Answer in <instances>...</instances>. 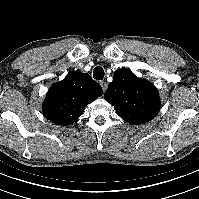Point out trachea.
<instances>
[{
    "instance_id": "obj_1",
    "label": "trachea",
    "mask_w": 199,
    "mask_h": 199,
    "mask_svg": "<svg viewBox=\"0 0 199 199\" xmlns=\"http://www.w3.org/2000/svg\"><path fill=\"white\" fill-rule=\"evenodd\" d=\"M104 70L102 67L97 66L93 71V78L96 80H102L104 78Z\"/></svg>"
}]
</instances>
